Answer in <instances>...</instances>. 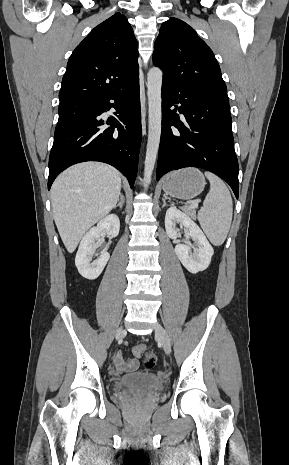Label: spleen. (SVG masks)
I'll return each instance as SVG.
<instances>
[{"label":"spleen","mask_w":289,"mask_h":465,"mask_svg":"<svg viewBox=\"0 0 289 465\" xmlns=\"http://www.w3.org/2000/svg\"><path fill=\"white\" fill-rule=\"evenodd\" d=\"M210 182L203 207L198 212V221L210 242L215 246L224 243L230 230L233 203L229 189L216 175L205 172Z\"/></svg>","instance_id":"1"}]
</instances>
